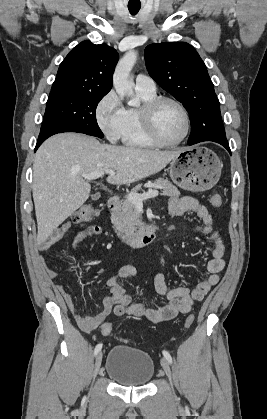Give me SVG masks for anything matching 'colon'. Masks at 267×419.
I'll return each instance as SVG.
<instances>
[{
    "label": "colon",
    "mask_w": 267,
    "mask_h": 419,
    "mask_svg": "<svg viewBox=\"0 0 267 419\" xmlns=\"http://www.w3.org/2000/svg\"><path fill=\"white\" fill-rule=\"evenodd\" d=\"M210 204L215 208L221 207L222 197L218 194L212 195L210 198ZM97 213L98 212L96 208L90 205H86L76 210L72 214L70 221L76 224L87 223L91 221L97 215ZM193 322H194V315L190 314L189 316H187L185 320V323H184L185 328H189L193 324ZM112 330H113V326L109 322L104 323L101 327V333L103 335H110L112 333Z\"/></svg>",
    "instance_id": "colon-1"
}]
</instances>
